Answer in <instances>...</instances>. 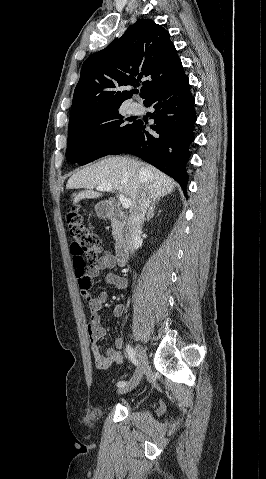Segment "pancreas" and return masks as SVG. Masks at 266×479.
Instances as JSON below:
<instances>
[{
    "mask_svg": "<svg viewBox=\"0 0 266 479\" xmlns=\"http://www.w3.org/2000/svg\"><path fill=\"white\" fill-rule=\"evenodd\" d=\"M113 237L115 239V248L116 249H119L121 247V240H122V236H121V233L119 232H116L115 231V227L113 226Z\"/></svg>",
    "mask_w": 266,
    "mask_h": 479,
    "instance_id": "obj_1",
    "label": "pancreas"
}]
</instances>
